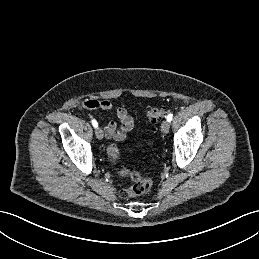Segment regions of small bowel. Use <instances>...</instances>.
Returning a JSON list of instances; mask_svg holds the SVG:
<instances>
[{
  "label": "small bowel",
  "instance_id": "small-bowel-1",
  "mask_svg": "<svg viewBox=\"0 0 259 259\" xmlns=\"http://www.w3.org/2000/svg\"><path fill=\"white\" fill-rule=\"evenodd\" d=\"M81 107L90 110L113 112L117 120L106 123L104 133L108 138H113L116 141L125 140L128 132L134 126V120L125 108L118 107L114 109L112 103L107 100L87 99L82 103Z\"/></svg>",
  "mask_w": 259,
  "mask_h": 259
}]
</instances>
